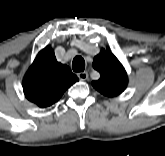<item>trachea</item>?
<instances>
[{
	"instance_id": "3493384b",
	"label": "trachea",
	"mask_w": 165,
	"mask_h": 156,
	"mask_svg": "<svg viewBox=\"0 0 165 156\" xmlns=\"http://www.w3.org/2000/svg\"><path fill=\"white\" fill-rule=\"evenodd\" d=\"M74 72H83L85 69V61L81 56H76L72 62Z\"/></svg>"
}]
</instances>
